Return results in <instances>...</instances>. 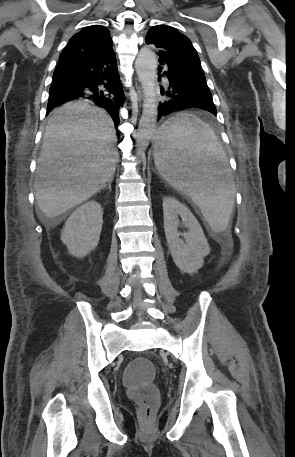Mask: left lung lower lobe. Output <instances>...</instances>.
Segmentation results:
<instances>
[{"mask_svg": "<svg viewBox=\"0 0 295 457\" xmlns=\"http://www.w3.org/2000/svg\"><path fill=\"white\" fill-rule=\"evenodd\" d=\"M159 58L158 72H161L162 65L167 66L164 75L168 79L169 87L166 91L161 89V94L166 96V100L159 105L158 119L175 110L191 107L204 109L216 115V108L209 88L203 83L196 85L197 82H202V74L190 72L167 59Z\"/></svg>", "mask_w": 295, "mask_h": 457, "instance_id": "obj_1", "label": "left lung lower lobe"}]
</instances>
